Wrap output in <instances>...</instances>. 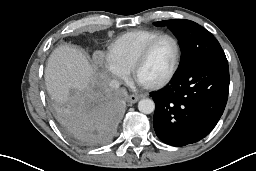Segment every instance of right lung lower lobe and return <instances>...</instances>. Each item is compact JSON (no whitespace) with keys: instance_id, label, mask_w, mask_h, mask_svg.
<instances>
[{"instance_id":"98d812e1","label":"right lung lower lobe","mask_w":256,"mask_h":171,"mask_svg":"<svg viewBox=\"0 0 256 171\" xmlns=\"http://www.w3.org/2000/svg\"><path fill=\"white\" fill-rule=\"evenodd\" d=\"M125 106V93L104 89L94 97L75 101L60 116L65 130L90 145L109 142L115 135Z\"/></svg>"}]
</instances>
